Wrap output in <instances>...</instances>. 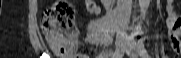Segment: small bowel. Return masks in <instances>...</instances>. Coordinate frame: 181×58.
<instances>
[{"label": "small bowel", "mask_w": 181, "mask_h": 58, "mask_svg": "<svg viewBox=\"0 0 181 58\" xmlns=\"http://www.w3.org/2000/svg\"><path fill=\"white\" fill-rule=\"evenodd\" d=\"M84 5L91 14L100 13L99 5L93 0H85ZM166 29L170 40V45L176 54H181V17L175 11L173 1H169L166 7ZM89 42L94 43L95 38L89 36Z\"/></svg>", "instance_id": "1"}]
</instances>
